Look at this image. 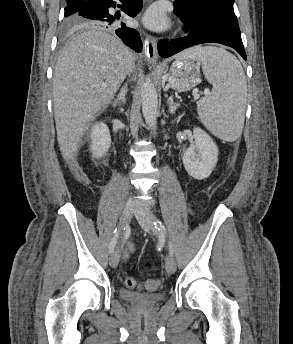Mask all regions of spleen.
<instances>
[{"label":"spleen","mask_w":293,"mask_h":344,"mask_svg":"<svg viewBox=\"0 0 293 344\" xmlns=\"http://www.w3.org/2000/svg\"><path fill=\"white\" fill-rule=\"evenodd\" d=\"M179 57L201 62L206 79L213 85L211 95L197 104L201 122L217 137L236 140L243 130L247 95L246 78L238 59L218 47H193Z\"/></svg>","instance_id":"3e777b00"}]
</instances>
